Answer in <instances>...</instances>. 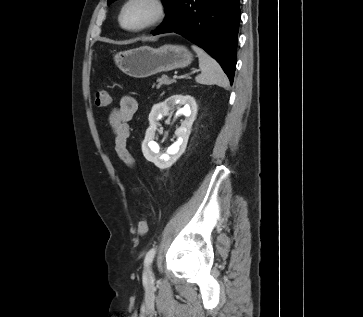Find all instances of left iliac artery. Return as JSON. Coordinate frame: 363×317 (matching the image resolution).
Wrapping results in <instances>:
<instances>
[{
	"label": "left iliac artery",
	"mask_w": 363,
	"mask_h": 317,
	"mask_svg": "<svg viewBox=\"0 0 363 317\" xmlns=\"http://www.w3.org/2000/svg\"><path fill=\"white\" fill-rule=\"evenodd\" d=\"M156 254V248H151L145 256V264L150 266Z\"/></svg>",
	"instance_id": "1"
}]
</instances>
